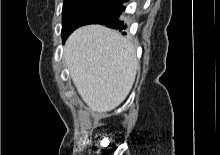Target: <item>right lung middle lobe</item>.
I'll return each instance as SVG.
<instances>
[{"label": "right lung middle lobe", "mask_w": 220, "mask_h": 155, "mask_svg": "<svg viewBox=\"0 0 220 155\" xmlns=\"http://www.w3.org/2000/svg\"><path fill=\"white\" fill-rule=\"evenodd\" d=\"M123 0H64L62 11V38L85 25L96 16L122 4Z\"/></svg>", "instance_id": "obj_1"}]
</instances>
